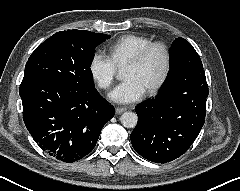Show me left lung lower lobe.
Instances as JSON below:
<instances>
[{
    "label": "left lung lower lobe",
    "mask_w": 240,
    "mask_h": 191,
    "mask_svg": "<svg viewBox=\"0 0 240 191\" xmlns=\"http://www.w3.org/2000/svg\"><path fill=\"white\" fill-rule=\"evenodd\" d=\"M209 94L203 68L180 67L151 100L136 108L133 148L144 158L167 163L184 154L205 122Z\"/></svg>",
    "instance_id": "1"
}]
</instances>
